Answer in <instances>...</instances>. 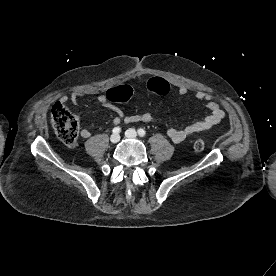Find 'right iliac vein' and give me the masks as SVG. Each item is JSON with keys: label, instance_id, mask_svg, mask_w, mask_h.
Listing matches in <instances>:
<instances>
[{"label": "right iliac vein", "instance_id": "obj_1", "mask_svg": "<svg viewBox=\"0 0 276 276\" xmlns=\"http://www.w3.org/2000/svg\"><path fill=\"white\" fill-rule=\"evenodd\" d=\"M119 140H120V135L119 134L114 133L110 137V141L113 144L117 143Z\"/></svg>", "mask_w": 276, "mask_h": 276}]
</instances>
